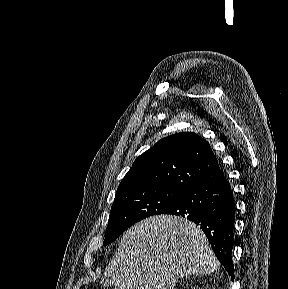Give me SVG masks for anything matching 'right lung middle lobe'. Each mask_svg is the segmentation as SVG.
<instances>
[{
	"instance_id": "dd1d6c3e",
	"label": "right lung middle lobe",
	"mask_w": 288,
	"mask_h": 289,
	"mask_svg": "<svg viewBox=\"0 0 288 289\" xmlns=\"http://www.w3.org/2000/svg\"><path fill=\"white\" fill-rule=\"evenodd\" d=\"M185 189L142 188L116 193L103 245L112 243L127 228L151 215L162 214L179 201Z\"/></svg>"
}]
</instances>
